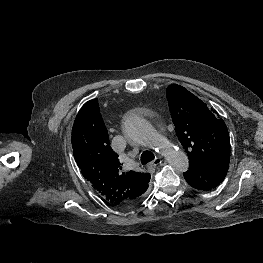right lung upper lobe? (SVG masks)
<instances>
[{
	"instance_id": "right-lung-upper-lobe-1",
	"label": "right lung upper lobe",
	"mask_w": 263,
	"mask_h": 263,
	"mask_svg": "<svg viewBox=\"0 0 263 263\" xmlns=\"http://www.w3.org/2000/svg\"><path fill=\"white\" fill-rule=\"evenodd\" d=\"M71 142L82 175L108 203L124 206L148 188L150 174L123 171L118 155L109 144L97 99L80 109Z\"/></svg>"
}]
</instances>
